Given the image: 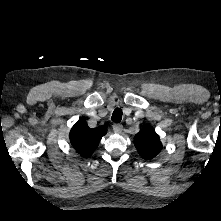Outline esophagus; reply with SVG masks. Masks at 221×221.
<instances>
[{
	"label": "esophagus",
	"instance_id": "esophagus-1",
	"mask_svg": "<svg viewBox=\"0 0 221 221\" xmlns=\"http://www.w3.org/2000/svg\"><path fill=\"white\" fill-rule=\"evenodd\" d=\"M113 130L115 133L120 134L123 130V126L121 124H113Z\"/></svg>",
	"mask_w": 221,
	"mask_h": 221
}]
</instances>
